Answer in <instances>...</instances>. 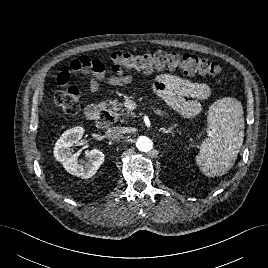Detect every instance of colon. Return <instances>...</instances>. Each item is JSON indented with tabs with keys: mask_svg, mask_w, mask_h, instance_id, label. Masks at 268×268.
Listing matches in <instances>:
<instances>
[{
	"mask_svg": "<svg viewBox=\"0 0 268 268\" xmlns=\"http://www.w3.org/2000/svg\"><path fill=\"white\" fill-rule=\"evenodd\" d=\"M114 70H152V69H180L186 76H216L221 73L218 63L199 58L192 54L179 55L177 53H127L114 52L110 57ZM63 82L66 79H62ZM81 92L77 87L57 91L54 104L63 111L75 114L80 109Z\"/></svg>",
	"mask_w": 268,
	"mask_h": 268,
	"instance_id": "1",
	"label": "colon"
}]
</instances>
